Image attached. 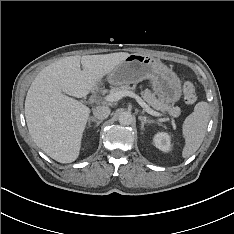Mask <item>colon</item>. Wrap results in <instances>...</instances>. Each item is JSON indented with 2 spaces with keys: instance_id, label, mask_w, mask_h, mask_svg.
<instances>
[{
  "instance_id": "obj_1",
  "label": "colon",
  "mask_w": 234,
  "mask_h": 234,
  "mask_svg": "<svg viewBox=\"0 0 234 234\" xmlns=\"http://www.w3.org/2000/svg\"><path fill=\"white\" fill-rule=\"evenodd\" d=\"M184 102L188 105L195 103L197 99L195 86L192 82L187 81L184 84Z\"/></svg>"
}]
</instances>
